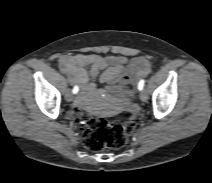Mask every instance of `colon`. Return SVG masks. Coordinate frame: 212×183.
Listing matches in <instances>:
<instances>
[{"mask_svg": "<svg viewBox=\"0 0 212 183\" xmlns=\"http://www.w3.org/2000/svg\"><path fill=\"white\" fill-rule=\"evenodd\" d=\"M78 119L82 124L86 125L83 142L91 151H101L105 148H122L135 129V122L133 120H126L118 125H110L102 117H85L80 115Z\"/></svg>", "mask_w": 212, "mask_h": 183, "instance_id": "5ec220e1", "label": "colon"}]
</instances>
